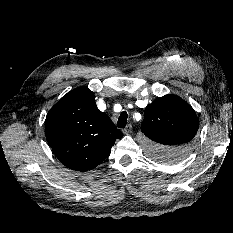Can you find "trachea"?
<instances>
[{"instance_id": "trachea-1", "label": "trachea", "mask_w": 233, "mask_h": 233, "mask_svg": "<svg viewBox=\"0 0 233 233\" xmlns=\"http://www.w3.org/2000/svg\"><path fill=\"white\" fill-rule=\"evenodd\" d=\"M127 118H128L127 112L123 111L118 118V122H117L118 128H124L126 126Z\"/></svg>"}]
</instances>
